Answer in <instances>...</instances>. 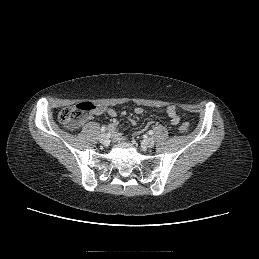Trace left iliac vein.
<instances>
[{"instance_id":"left-iliac-vein-1","label":"left iliac vein","mask_w":259,"mask_h":259,"mask_svg":"<svg viewBox=\"0 0 259 259\" xmlns=\"http://www.w3.org/2000/svg\"><path fill=\"white\" fill-rule=\"evenodd\" d=\"M143 145L146 147V148H152L154 146V140L152 138H146L144 141H143Z\"/></svg>"}]
</instances>
